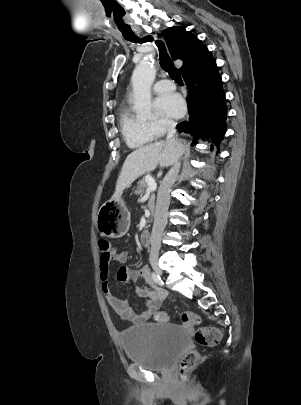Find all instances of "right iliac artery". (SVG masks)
Instances as JSON below:
<instances>
[{
  "instance_id": "82829eb1",
  "label": "right iliac artery",
  "mask_w": 301,
  "mask_h": 405,
  "mask_svg": "<svg viewBox=\"0 0 301 405\" xmlns=\"http://www.w3.org/2000/svg\"><path fill=\"white\" fill-rule=\"evenodd\" d=\"M152 279H153V281L155 282V283H160L161 282V278H160V276L159 275H157V274H155V273H152Z\"/></svg>"
}]
</instances>
